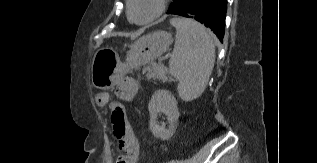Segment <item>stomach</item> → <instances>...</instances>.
<instances>
[{
    "label": "stomach",
    "instance_id": "stomach-1",
    "mask_svg": "<svg viewBox=\"0 0 317 163\" xmlns=\"http://www.w3.org/2000/svg\"><path fill=\"white\" fill-rule=\"evenodd\" d=\"M171 43L172 36L167 31L144 35L131 45L124 61L111 48L99 49L91 66L93 86L102 90L112 88L130 70L160 57Z\"/></svg>",
    "mask_w": 317,
    "mask_h": 163
}]
</instances>
